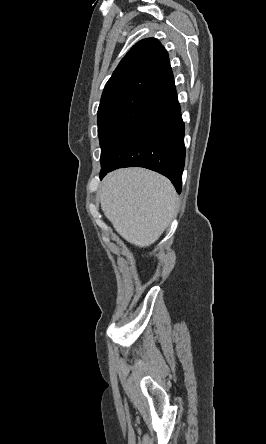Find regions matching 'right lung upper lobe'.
Returning a JSON list of instances; mask_svg holds the SVG:
<instances>
[{
	"label": "right lung upper lobe",
	"mask_w": 266,
	"mask_h": 444,
	"mask_svg": "<svg viewBox=\"0 0 266 444\" xmlns=\"http://www.w3.org/2000/svg\"><path fill=\"white\" fill-rule=\"evenodd\" d=\"M135 93L165 104L177 99L168 53L155 38L143 39L129 50L105 85L100 104Z\"/></svg>",
	"instance_id": "1"
}]
</instances>
